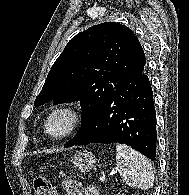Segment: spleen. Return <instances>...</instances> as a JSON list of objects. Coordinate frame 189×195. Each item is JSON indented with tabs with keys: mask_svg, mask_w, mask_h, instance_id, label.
I'll return each mask as SVG.
<instances>
[{
	"mask_svg": "<svg viewBox=\"0 0 189 195\" xmlns=\"http://www.w3.org/2000/svg\"><path fill=\"white\" fill-rule=\"evenodd\" d=\"M116 170L125 184L132 188L148 190L153 186L154 173L150 161L132 148L116 145Z\"/></svg>",
	"mask_w": 189,
	"mask_h": 195,
	"instance_id": "spleen-1",
	"label": "spleen"
}]
</instances>
